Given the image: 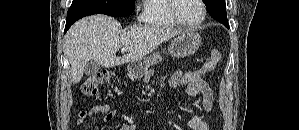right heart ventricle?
<instances>
[{"instance_id":"right-heart-ventricle-1","label":"right heart ventricle","mask_w":299,"mask_h":130,"mask_svg":"<svg viewBox=\"0 0 299 130\" xmlns=\"http://www.w3.org/2000/svg\"><path fill=\"white\" fill-rule=\"evenodd\" d=\"M170 0H146L142 19L144 23L151 27L172 28L178 23L172 18L169 10Z\"/></svg>"}]
</instances>
